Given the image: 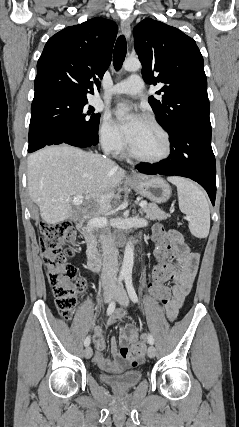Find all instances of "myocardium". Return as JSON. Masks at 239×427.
I'll return each instance as SVG.
<instances>
[{
  "mask_svg": "<svg viewBox=\"0 0 239 427\" xmlns=\"http://www.w3.org/2000/svg\"><path fill=\"white\" fill-rule=\"evenodd\" d=\"M144 120H146L148 123H150L154 128H156L163 136L164 141H165V150L164 152L155 158H149V157H144L141 156L139 154H137L136 152H134L131 148V146L128 144L127 145V153L128 155L139 162L142 163H146V164H158L161 163L163 161H165L166 159H168L172 153V140H171V136L169 134V132L153 117L151 116H145Z\"/></svg>",
  "mask_w": 239,
  "mask_h": 427,
  "instance_id": "obj_1",
  "label": "myocardium"
}]
</instances>
